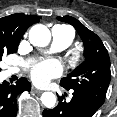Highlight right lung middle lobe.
<instances>
[{"label":"right lung middle lobe","instance_id":"obj_1","mask_svg":"<svg viewBox=\"0 0 117 117\" xmlns=\"http://www.w3.org/2000/svg\"><path fill=\"white\" fill-rule=\"evenodd\" d=\"M17 48V45L0 44V61L2 60L3 55L15 53Z\"/></svg>","mask_w":117,"mask_h":117}]
</instances>
